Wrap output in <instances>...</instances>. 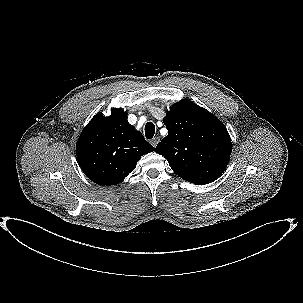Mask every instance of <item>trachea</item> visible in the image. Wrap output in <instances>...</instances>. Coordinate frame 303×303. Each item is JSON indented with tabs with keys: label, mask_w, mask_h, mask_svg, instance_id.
<instances>
[{
	"label": "trachea",
	"mask_w": 303,
	"mask_h": 303,
	"mask_svg": "<svg viewBox=\"0 0 303 303\" xmlns=\"http://www.w3.org/2000/svg\"><path fill=\"white\" fill-rule=\"evenodd\" d=\"M155 134V126L152 122H148L145 126V136L147 139L153 138Z\"/></svg>",
	"instance_id": "trachea-1"
}]
</instances>
